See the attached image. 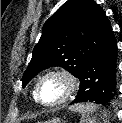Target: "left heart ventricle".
<instances>
[{
  "label": "left heart ventricle",
  "instance_id": "b2bd125f",
  "mask_svg": "<svg viewBox=\"0 0 122 123\" xmlns=\"http://www.w3.org/2000/svg\"><path fill=\"white\" fill-rule=\"evenodd\" d=\"M66 82L58 76L46 78L40 89V96L44 102L51 103L60 99L66 92Z\"/></svg>",
  "mask_w": 122,
  "mask_h": 123
}]
</instances>
